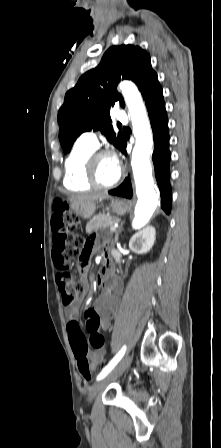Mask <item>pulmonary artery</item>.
<instances>
[{"label":"pulmonary artery","instance_id":"1","mask_svg":"<svg viewBox=\"0 0 221 448\" xmlns=\"http://www.w3.org/2000/svg\"><path fill=\"white\" fill-rule=\"evenodd\" d=\"M115 118L122 123H126L128 120L126 113L122 110L115 111ZM79 142L95 149L99 146L98 136L94 131L82 133L79 137Z\"/></svg>","mask_w":221,"mask_h":448}]
</instances>
